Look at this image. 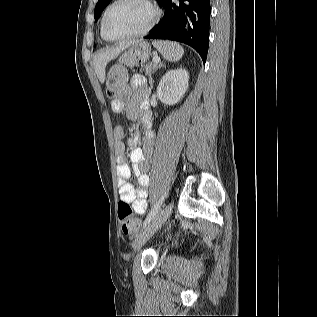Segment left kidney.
Masks as SVG:
<instances>
[{
    "instance_id": "obj_1",
    "label": "left kidney",
    "mask_w": 317,
    "mask_h": 317,
    "mask_svg": "<svg viewBox=\"0 0 317 317\" xmlns=\"http://www.w3.org/2000/svg\"><path fill=\"white\" fill-rule=\"evenodd\" d=\"M189 74L186 69L168 71L157 87V97L161 102L173 105L179 102L188 89Z\"/></svg>"
}]
</instances>
